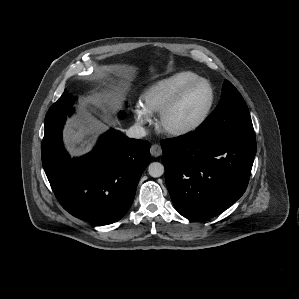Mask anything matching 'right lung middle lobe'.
Returning a JSON list of instances; mask_svg holds the SVG:
<instances>
[{
    "label": "right lung middle lobe",
    "instance_id": "right-lung-middle-lobe-1",
    "mask_svg": "<svg viewBox=\"0 0 299 299\" xmlns=\"http://www.w3.org/2000/svg\"><path fill=\"white\" fill-rule=\"evenodd\" d=\"M74 97L69 94L67 90L64 91L62 96L50 107L49 113L56 111H65L71 109L73 105Z\"/></svg>",
    "mask_w": 299,
    "mask_h": 299
}]
</instances>
